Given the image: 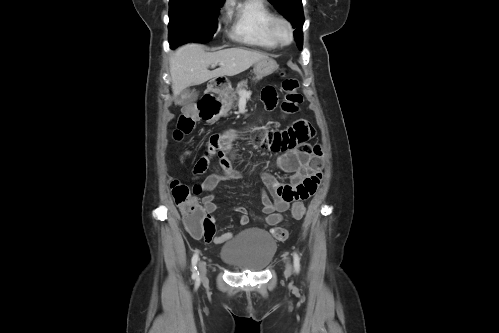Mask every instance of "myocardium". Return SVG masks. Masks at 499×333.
Instances as JSON below:
<instances>
[{"label":"myocardium","instance_id":"f54148a6","mask_svg":"<svg viewBox=\"0 0 499 333\" xmlns=\"http://www.w3.org/2000/svg\"><path fill=\"white\" fill-rule=\"evenodd\" d=\"M285 27V34L282 35L279 33V27ZM270 33L274 40L281 45H287L293 40V27L291 22L282 16H275L270 22Z\"/></svg>","mask_w":499,"mask_h":333}]
</instances>
